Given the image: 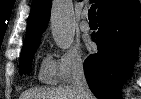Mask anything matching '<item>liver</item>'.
Wrapping results in <instances>:
<instances>
[{
    "label": "liver",
    "mask_w": 141,
    "mask_h": 99,
    "mask_svg": "<svg viewBox=\"0 0 141 99\" xmlns=\"http://www.w3.org/2000/svg\"><path fill=\"white\" fill-rule=\"evenodd\" d=\"M19 99H80L72 86L58 88H32L24 91Z\"/></svg>",
    "instance_id": "1"
}]
</instances>
